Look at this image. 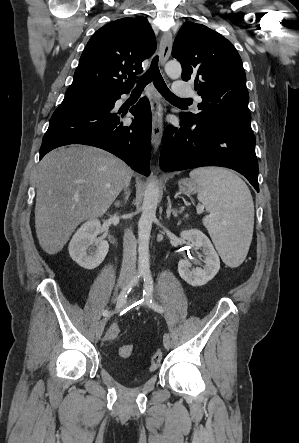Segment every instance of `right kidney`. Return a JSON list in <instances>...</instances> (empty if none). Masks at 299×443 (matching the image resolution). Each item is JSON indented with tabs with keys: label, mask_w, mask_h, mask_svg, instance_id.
Masks as SVG:
<instances>
[{
	"label": "right kidney",
	"mask_w": 299,
	"mask_h": 443,
	"mask_svg": "<svg viewBox=\"0 0 299 443\" xmlns=\"http://www.w3.org/2000/svg\"><path fill=\"white\" fill-rule=\"evenodd\" d=\"M100 229V221L90 219L80 226L69 243L70 257L85 269L99 266L108 253V242L97 238Z\"/></svg>",
	"instance_id": "1"
}]
</instances>
